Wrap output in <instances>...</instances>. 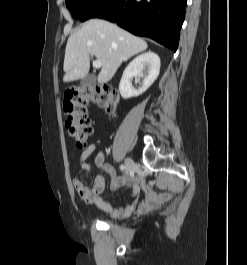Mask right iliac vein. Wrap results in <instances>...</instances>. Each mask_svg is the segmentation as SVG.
I'll use <instances>...</instances> for the list:
<instances>
[{"mask_svg":"<svg viewBox=\"0 0 247 265\" xmlns=\"http://www.w3.org/2000/svg\"><path fill=\"white\" fill-rule=\"evenodd\" d=\"M134 166V162L131 158H126L125 160V173L126 175H130L132 168Z\"/></svg>","mask_w":247,"mask_h":265,"instance_id":"63e3f726","label":"right iliac vein"}]
</instances>
